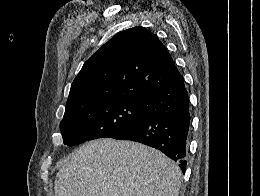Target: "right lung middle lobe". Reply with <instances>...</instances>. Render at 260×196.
I'll use <instances>...</instances> for the list:
<instances>
[{"label":"right lung middle lobe","instance_id":"dd1d6c3e","mask_svg":"<svg viewBox=\"0 0 260 196\" xmlns=\"http://www.w3.org/2000/svg\"><path fill=\"white\" fill-rule=\"evenodd\" d=\"M138 100L127 96H105L66 107L60 129L64 144L74 146L87 140L113 138L143 121L147 115Z\"/></svg>","mask_w":260,"mask_h":196}]
</instances>
